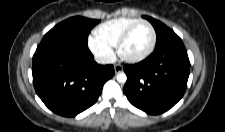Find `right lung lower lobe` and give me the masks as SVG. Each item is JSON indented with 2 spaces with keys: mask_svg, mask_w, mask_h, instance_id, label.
Segmentation results:
<instances>
[{
  "mask_svg": "<svg viewBox=\"0 0 225 132\" xmlns=\"http://www.w3.org/2000/svg\"><path fill=\"white\" fill-rule=\"evenodd\" d=\"M32 74L44 104L59 115L72 117L97 101L114 68L97 64L88 46L49 41L37 47Z\"/></svg>",
  "mask_w": 225,
  "mask_h": 132,
  "instance_id": "98d812e1",
  "label": "right lung lower lobe"
}]
</instances>
